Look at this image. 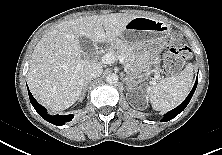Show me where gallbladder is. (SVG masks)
Returning <instances> with one entry per match:
<instances>
[{
    "label": "gallbladder",
    "mask_w": 222,
    "mask_h": 155,
    "mask_svg": "<svg viewBox=\"0 0 222 155\" xmlns=\"http://www.w3.org/2000/svg\"><path fill=\"white\" fill-rule=\"evenodd\" d=\"M79 45L82 49V52L86 56H92L95 52V47L92 41L86 37H80L79 38Z\"/></svg>",
    "instance_id": "obj_1"
}]
</instances>
